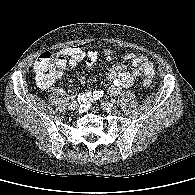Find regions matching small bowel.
<instances>
[{
  "label": "small bowel",
  "mask_w": 195,
  "mask_h": 195,
  "mask_svg": "<svg viewBox=\"0 0 195 195\" xmlns=\"http://www.w3.org/2000/svg\"><path fill=\"white\" fill-rule=\"evenodd\" d=\"M59 54L68 58V64L71 68H75L81 61L85 59L88 66H92L96 61L98 54L95 50L90 49L87 52L79 47H67L60 50ZM103 55L107 61L113 60V54L109 49L104 50ZM125 60L130 61L134 67L133 71H128L126 65L116 64L111 66L107 71V77L111 82L107 93L110 95H118L123 88L130 87L137 78L144 76L152 78L154 75L153 63L144 55L138 53H127ZM86 78L80 77V83L84 84ZM106 92L104 90L88 91L81 95L79 99L82 101L83 110H86L89 105L102 97Z\"/></svg>",
  "instance_id": "c3829d8e"
}]
</instances>
